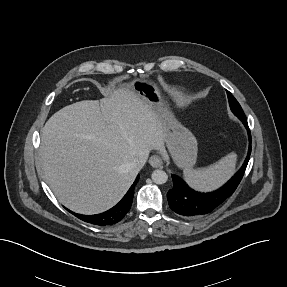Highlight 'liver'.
<instances>
[{"mask_svg":"<svg viewBox=\"0 0 287 287\" xmlns=\"http://www.w3.org/2000/svg\"><path fill=\"white\" fill-rule=\"evenodd\" d=\"M165 137L161 118L133 90H115L100 102H76L53 114L42 129L40 163L64 206L97 214L132 185L138 155L164 152Z\"/></svg>","mask_w":287,"mask_h":287,"instance_id":"1","label":"liver"}]
</instances>
